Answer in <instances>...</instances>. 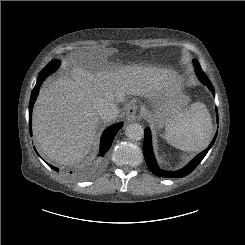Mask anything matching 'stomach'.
Segmentation results:
<instances>
[{
  "label": "stomach",
  "mask_w": 245,
  "mask_h": 245,
  "mask_svg": "<svg viewBox=\"0 0 245 245\" xmlns=\"http://www.w3.org/2000/svg\"><path fill=\"white\" fill-rule=\"evenodd\" d=\"M189 97L180 87H168L149 99L150 117L158 126H166L188 111Z\"/></svg>",
  "instance_id": "obj_1"
}]
</instances>
